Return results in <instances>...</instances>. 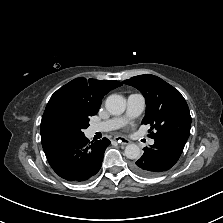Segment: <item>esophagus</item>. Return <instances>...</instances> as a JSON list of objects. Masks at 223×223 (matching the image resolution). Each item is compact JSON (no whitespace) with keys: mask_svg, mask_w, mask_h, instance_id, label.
<instances>
[{"mask_svg":"<svg viewBox=\"0 0 223 223\" xmlns=\"http://www.w3.org/2000/svg\"><path fill=\"white\" fill-rule=\"evenodd\" d=\"M114 140L121 145H128L130 143V140H128L127 138L123 136H116L114 137Z\"/></svg>","mask_w":223,"mask_h":223,"instance_id":"esophagus-1","label":"esophagus"}]
</instances>
